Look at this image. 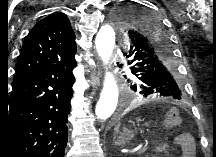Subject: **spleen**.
I'll list each match as a JSON object with an SVG mask.
<instances>
[{
    "mask_svg": "<svg viewBox=\"0 0 216 157\" xmlns=\"http://www.w3.org/2000/svg\"><path fill=\"white\" fill-rule=\"evenodd\" d=\"M119 126H120V125H117V126L115 127V132H116V133L119 132Z\"/></svg>",
    "mask_w": 216,
    "mask_h": 157,
    "instance_id": "obj_1",
    "label": "spleen"
}]
</instances>
